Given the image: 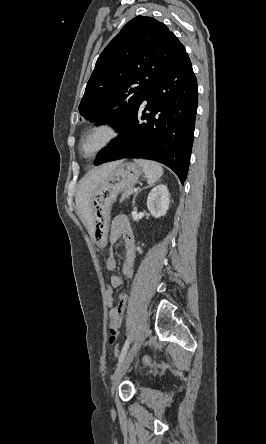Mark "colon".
<instances>
[{
  "mask_svg": "<svg viewBox=\"0 0 266 444\" xmlns=\"http://www.w3.org/2000/svg\"><path fill=\"white\" fill-rule=\"evenodd\" d=\"M113 285L110 283L107 287H106V291H105V297H106V303L108 305V307H112L114 304V290H113ZM114 353L118 354L119 353V348L118 346H115L114 348ZM144 363L147 365H152V361L150 358L146 357L144 358Z\"/></svg>",
  "mask_w": 266,
  "mask_h": 444,
  "instance_id": "1",
  "label": "colon"
}]
</instances>
